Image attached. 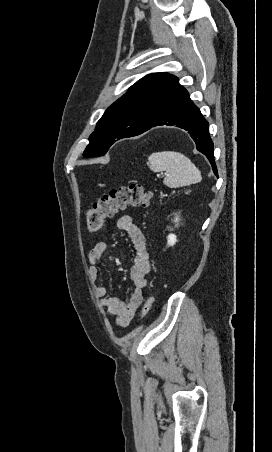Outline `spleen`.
<instances>
[{"instance_id":"3e777b00","label":"spleen","mask_w":272,"mask_h":452,"mask_svg":"<svg viewBox=\"0 0 272 452\" xmlns=\"http://www.w3.org/2000/svg\"><path fill=\"white\" fill-rule=\"evenodd\" d=\"M147 165L154 172L165 171L164 184L171 188L198 183L201 172L185 155L174 151L152 153Z\"/></svg>"}]
</instances>
